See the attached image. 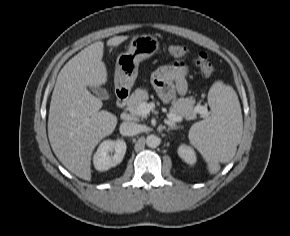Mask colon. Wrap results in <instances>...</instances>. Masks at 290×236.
I'll list each match as a JSON object with an SVG mask.
<instances>
[{"label":"colon","mask_w":290,"mask_h":236,"mask_svg":"<svg viewBox=\"0 0 290 236\" xmlns=\"http://www.w3.org/2000/svg\"><path fill=\"white\" fill-rule=\"evenodd\" d=\"M169 52L173 57L177 58L191 56L196 66L207 77L215 73V66L209 61L207 54L204 52H191L188 47L181 44L170 46Z\"/></svg>","instance_id":"5ec220e1"}]
</instances>
